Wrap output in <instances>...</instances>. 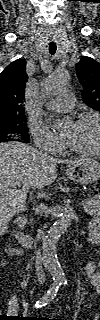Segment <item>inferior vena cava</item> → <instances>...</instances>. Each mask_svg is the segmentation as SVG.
<instances>
[{
  "instance_id": "1",
  "label": "inferior vena cava",
  "mask_w": 100,
  "mask_h": 320,
  "mask_svg": "<svg viewBox=\"0 0 100 320\" xmlns=\"http://www.w3.org/2000/svg\"><path fill=\"white\" fill-rule=\"evenodd\" d=\"M35 213L40 216H46L49 214V209L45 204L40 203L39 205H37L35 207ZM44 237H45L44 230L42 228L38 229L36 241H39L41 239L44 240ZM43 264H44V260H43V256L41 253V249H37L36 250L35 269H36V276H37V279L39 282H44L46 280V275H45L43 267H42Z\"/></svg>"
}]
</instances>
